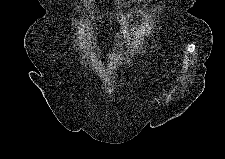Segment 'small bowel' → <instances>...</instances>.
Listing matches in <instances>:
<instances>
[{"label": "small bowel", "instance_id": "1", "mask_svg": "<svg viewBox=\"0 0 225 159\" xmlns=\"http://www.w3.org/2000/svg\"><path fill=\"white\" fill-rule=\"evenodd\" d=\"M124 27L126 26L125 22H123Z\"/></svg>", "mask_w": 225, "mask_h": 159}]
</instances>
